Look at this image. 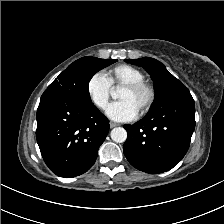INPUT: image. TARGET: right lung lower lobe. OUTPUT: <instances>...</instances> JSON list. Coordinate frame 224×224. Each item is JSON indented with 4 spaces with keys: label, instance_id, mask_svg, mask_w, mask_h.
<instances>
[{
    "label": "right lung lower lobe",
    "instance_id": "right-lung-lower-lobe-1",
    "mask_svg": "<svg viewBox=\"0 0 224 224\" xmlns=\"http://www.w3.org/2000/svg\"><path fill=\"white\" fill-rule=\"evenodd\" d=\"M41 155L56 175L71 178L89 170L109 131V120L91 102L45 91L37 109Z\"/></svg>",
    "mask_w": 224,
    "mask_h": 224
}]
</instances>
